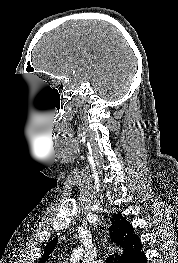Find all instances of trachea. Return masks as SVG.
<instances>
[{"label":"trachea","mask_w":178,"mask_h":263,"mask_svg":"<svg viewBox=\"0 0 178 263\" xmlns=\"http://www.w3.org/2000/svg\"><path fill=\"white\" fill-rule=\"evenodd\" d=\"M106 263H113V255H109L106 259Z\"/></svg>","instance_id":"trachea-1"}]
</instances>
